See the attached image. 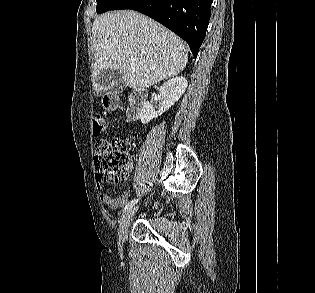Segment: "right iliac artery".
Returning a JSON list of instances; mask_svg holds the SVG:
<instances>
[{
	"mask_svg": "<svg viewBox=\"0 0 315 293\" xmlns=\"http://www.w3.org/2000/svg\"><path fill=\"white\" fill-rule=\"evenodd\" d=\"M138 202V199H134V200H131L129 201L126 205H125V210L128 209V208H131L133 205H135L136 203Z\"/></svg>",
	"mask_w": 315,
	"mask_h": 293,
	"instance_id": "obj_1",
	"label": "right iliac artery"
}]
</instances>
